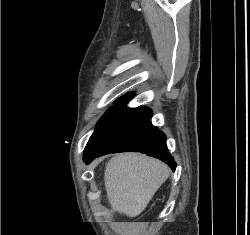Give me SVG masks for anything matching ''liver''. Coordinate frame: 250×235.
Wrapping results in <instances>:
<instances>
[{
  "label": "liver",
  "instance_id": "liver-1",
  "mask_svg": "<svg viewBox=\"0 0 250 235\" xmlns=\"http://www.w3.org/2000/svg\"><path fill=\"white\" fill-rule=\"evenodd\" d=\"M161 161L142 154H118L106 164L104 181L111 209L138 216L169 176Z\"/></svg>",
  "mask_w": 250,
  "mask_h": 235
}]
</instances>
